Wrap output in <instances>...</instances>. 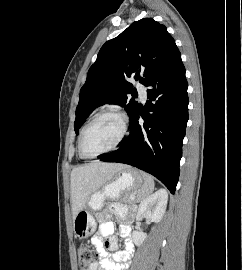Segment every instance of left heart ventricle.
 <instances>
[{"label": "left heart ventricle", "instance_id": "1", "mask_svg": "<svg viewBox=\"0 0 242 270\" xmlns=\"http://www.w3.org/2000/svg\"><path fill=\"white\" fill-rule=\"evenodd\" d=\"M122 124L116 116H104L87 131L83 148L87 154H96L111 147L120 137Z\"/></svg>", "mask_w": 242, "mask_h": 270}]
</instances>
